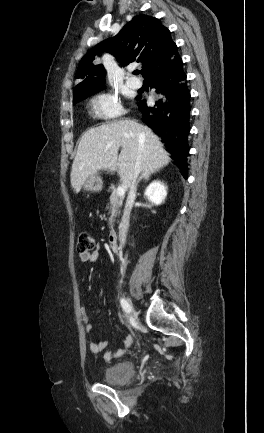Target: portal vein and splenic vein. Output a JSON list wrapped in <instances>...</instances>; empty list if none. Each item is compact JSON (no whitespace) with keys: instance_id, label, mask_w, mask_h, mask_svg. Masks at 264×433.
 <instances>
[{"instance_id":"portal-vein-and-splenic-vein-1","label":"portal vein and splenic vein","mask_w":264,"mask_h":433,"mask_svg":"<svg viewBox=\"0 0 264 433\" xmlns=\"http://www.w3.org/2000/svg\"><path fill=\"white\" fill-rule=\"evenodd\" d=\"M126 189H127V187L124 185L119 186L116 190L117 195L120 197H124Z\"/></svg>"}]
</instances>
